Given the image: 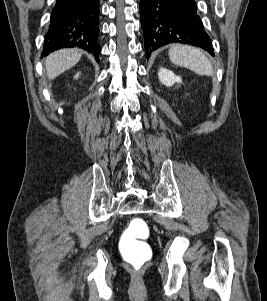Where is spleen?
Segmentation results:
<instances>
[{
    "instance_id": "3e777b00",
    "label": "spleen",
    "mask_w": 267,
    "mask_h": 301,
    "mask_svg": "<svg viewBox=\"0 0 267 301\" xmlns=\"http://www.w3.org/2000/svg\"><path fill=\"white\" fill-rule=\"evenodd\" d=\"M169 58L175 65L190 69L198 75H213L211 62L199 49L187 45H174L169 50Z\"/></svg>"
}]
</instances>
